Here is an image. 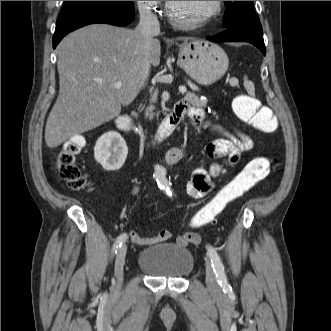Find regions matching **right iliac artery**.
<instances>
[{"label":"right iliac artery","instance_id":"82829eb1","mask_svg":"<svg viewBox=\"0 0 331 331\" xmlns=\"http://www.w3.org/2000/svg\"><path fill=\"white\" fill-rule=\"evenodd\" d=\"M127 240V234L123 233L120 236L117 237L114 245H113V251L117 253V250L122 246V244Z\"/></svg>","mask_w":331,"mask_h":331}]
</instances>
